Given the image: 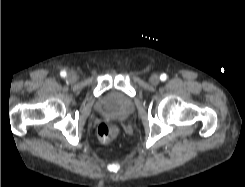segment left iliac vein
I'll use <instances>...</instances> for the list:
<instances>
[{
    "mask_svg": "<svg viewBox=\"0 0 245 187\" xmlns=\"http://www.w3.org/2000/svg\"><path fill=\"white\" fill-rule=\"evenodd\" d=\"M150 82L152 85H158L160 82V77L157 74H153L150 77Z\"/></svg>",
    "mask_w": 245,
    "mask_h": 187,
    "instance_id": "1",
    "label": "left iliac vein"
}]
</instances>
